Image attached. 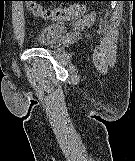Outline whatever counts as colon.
Masks as SVG:
<instances>
[{"label": "colon", "instance_id": "colon-1", "mask_svg": "<svg viewBox=\"0 0 135 161\" xmlns=\"http://www.w3.org/2000/svg\"><path fill=\"white\" fill-rule=\"evenodd\" d=\"M26 6L34 15L47 20H71L84 12L81 5H72L63 8H44L34 0H24Z\"/></svg>", "mask_w": 135, "mask_h": 161}]
</instances>
